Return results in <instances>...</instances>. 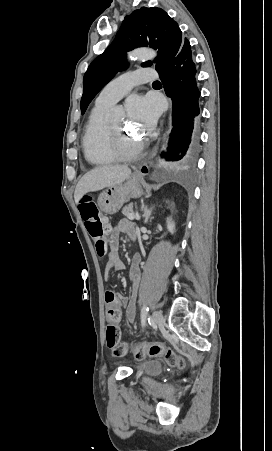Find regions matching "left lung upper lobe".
Returning a JSON list of instances; mask_svg holds the SVG:
<instances>
[{"instance_id":"left-lung-upper-lobe-1","label":"left lung upper lobe","mask_w":272,"mask_h":451,"mask_svg":"<svg viewBox=\"0 0 272 451\" xmlns=\"http://www.w3.org/2000/svg\"><path fill=\"white\" fill-rule=\"evenodd\" d=\"M184 38L178 24L157 7H142L126 16L112 44L88 67L83 78L81 113L96 94L121 70L127 68L126 52L137 47L158 49L156 70L165 68L179 52ZM152 61L142 64L149 67Z\"/></svg>"}]
</instances>
